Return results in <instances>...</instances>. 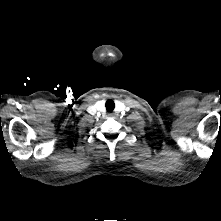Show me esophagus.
<instances>
[{"instance_id": "34e87169", "label": "esophagus", "mask_w": 221, "mask_h": 221, "mask_svg": "<svg viewBox=\"0 0 221 221\" xmlns=\"http://www.w3.org/2000/svg\"><path fill=\"white\" fill-rule=\"evenodd\" d=\"M108 116H113V114H112V113H109Z\"/></svg>"}]
</instances>
